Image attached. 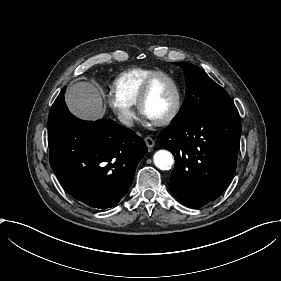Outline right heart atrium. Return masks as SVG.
I'll return each mask as SVG.
<instances>
[{"instance_id":"right-heart-atrium-1","label":"right heart atrium","mask_w":281,"mask_h":281,"mask_svg":"<svg viewBox=\"0 0 281 281\" xmlns=\"http://www.w3.org/2000/svg\"><path fill=\"white\" fill-rule=\"evenodd\" d=\"M106 98L120 122L126 126H131L135 122L137 112L132 105L122 101L116 93L112 91L107 93Z\"/></svg>"}]
</instances>
